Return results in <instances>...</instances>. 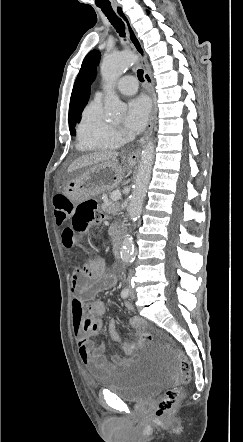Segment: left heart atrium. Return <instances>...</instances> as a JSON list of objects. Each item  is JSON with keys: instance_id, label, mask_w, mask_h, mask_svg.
Segmentation results:
<instances>
[{"instance_id": "obj_1", "label": "left heart atrium", "mask_w": 243, "mask_h": 442, "mask_svg": "<svg viewBox=\"0 0 243 442\" xmlns=\"http://www.w3.org/2000/svg\"><path fill=\"white\" fill-rule=\"evenodd\" d=\"M150 113V103L144 96L133 98L127 106L125 126L132 132H138L144 128Z\"/></svg>"}]
</instances>
